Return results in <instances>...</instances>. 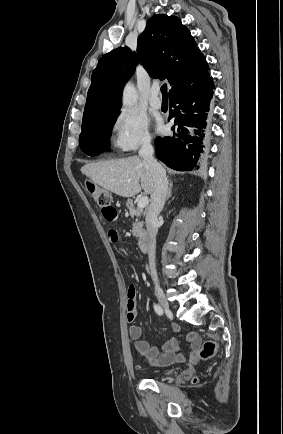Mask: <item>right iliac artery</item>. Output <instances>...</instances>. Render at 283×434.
<instances>
[{"label": "right iliac artery", "mask_w": 283, "mask_h": 434, "mask_svg": "<svg viewBox=\"0 0 283 434\" xmlns=\"http://www.w3.org/2000/svg\"><path fill=\"white\" fill-rule=\"evenodd\" d=\"M154 310H155V312L158 314V315H162L163 314V309H162V307L160 306V305H158V304H154Z\"/></svg>", "instance_id": "right-iliac-artery-1"}]
</instances>
